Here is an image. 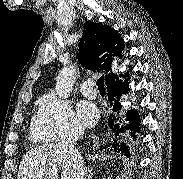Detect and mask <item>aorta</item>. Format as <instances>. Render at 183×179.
I'll list each match as a JSON object with an SVG mask.
<instances>
[{
  "label": "aorta",
  "instance_id": "762f6f07",
  "mask_svg": "<svg viewBox=\"0 0 183 179\" xmlns=\"http://www.w3.org/2000/svg\"><path fill=\"white\" fill-rule=\"evenodd\" d=\"M75 82L74 66L63 67L57 76L55 90L59 98L66 99L70 96Z\"/></svg>",
  "mask_w": 183,
  "mask_h": 179
}]
</instances>
